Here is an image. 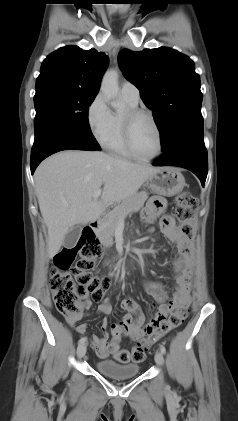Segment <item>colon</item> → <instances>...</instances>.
Wrapping results in <instances>:
<instances>
[{
  "label": "colon",
  "mask_w": 238,
  "mask_h": 421,
  "mask_svg": "<svg viewBox=\"0 0 238 421\" xmlns=\"http://www.w3.org/2000/svg\"><path fill=\"white\" fill-rule=\"evenodd\" d=\"M175 203L179 230L190 240L194 235L197 200L191 193L183 192L176 197ZM99 252L100 247L95 236L84 233L75 246L64 247L54 256L50 286L55 306L66 318L82 315L88 296L95 302L106 301L110 280L96 272ZM186 316V309H173L158 332L141 339L130 350L119 348L114 353L115 359L120 363L142 362L147 348L164 334L179 327Z\"/></svg>",
  "instance_id": "colon-1"
}]
</instances>
